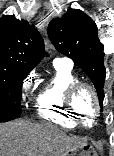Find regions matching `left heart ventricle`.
Masks as SVG:
<instances>
[{
    "label": "left heart ventricle",
    "mask_w": 114,
    "mask_h": 156,
    "mask_svg": "<svg viewBox=\"0 0 114 156\" xmlns=\"http://www.w3.org/2000/svg\"><path fill=\"white\" fill-rule=\"evenodd\" d=\"M75 106L85 124L90 125L93 122L94 117V100L88 90H81L75 99Z\"/></svg>",
    "instance_id": "left-heart-ventricle-1"
}]
</instances>
